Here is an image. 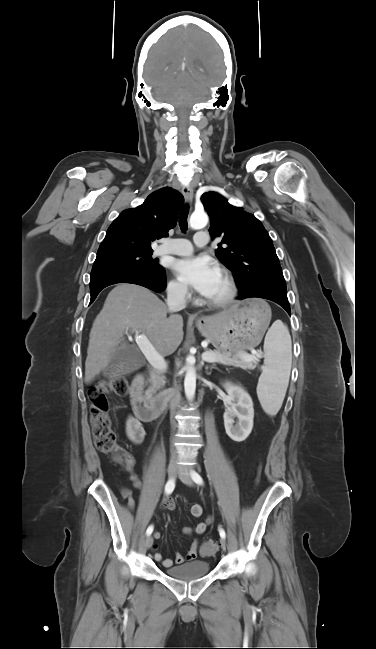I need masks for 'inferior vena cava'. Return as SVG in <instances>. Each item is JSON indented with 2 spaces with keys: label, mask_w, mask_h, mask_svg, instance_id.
I'll return each mask as SVG.
<instances>
[{
  "label": "inferior vena cava",
  "mask_w": 376,
  "mask_h": 649,
  "mask_svg": "<svg viewBox=\"0 0 376 649\" xmlns=\"http://www.w3.org/2000/svg\"><path fill=\"white\" fill-rule=\"evenodd\" d=\"M186 292L187 287L184 284H179L168 288L167 291V306L170 311L177 312L186 307ZM169 395L171 397L172 407H175L180 402V395L177 391H170ZM172 452L175 453V450L172 448Z\"/></svg>",
  "instance_id": "602c4592"
}]
</instances>
